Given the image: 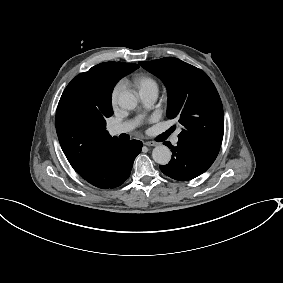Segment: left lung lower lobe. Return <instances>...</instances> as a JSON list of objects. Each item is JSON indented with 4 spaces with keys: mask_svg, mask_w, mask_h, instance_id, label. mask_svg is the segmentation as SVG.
Listing matches in <instances>:
<instances>
[{
    "mask_svg": "<svg viewBox=\"0 0 283 283\" xmlns=\"http://www.w3.org/2000/svg\"><path fill=\"white\" fill-rule=\"evenodd\" d=\"M171 148L172 159L167 165H161V171L179 181L191 180L205 172L216 159L219 149L211 146L178 139L177 146L164 142Z\"/></svg>",
    "mask_w": 283,
    "mask_h": 283,
    "instance_id": "obj_1",
    "label": "left lung lower lobe"
}]
</instances>
